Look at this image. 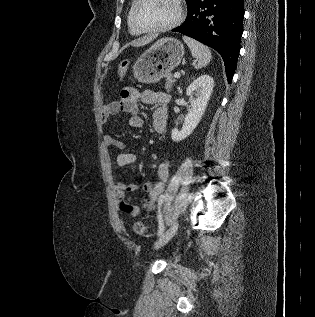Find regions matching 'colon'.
Listing matches in <instances>:
<instances>
[{
	"instance_id": "5ec220e1",
	"label": "colon",
	"mask_w": 315,
	"mask_h": 317,
	"mask_svg": "<svg viewBox=\"0 0 315 317\" xmlns=\"http://www.w3.org/2000/svg\"><path fill=\"white\" fill-rule=\"evenodd\" d=\"M129 65H130V62L128 60H124L120 62V64L118 65V76L120 78L125 76V74L128 71ZM133 228H134V232L140 236H143L146 233V227L142 222H136Z\"/></svg>"
}]
</instances>
